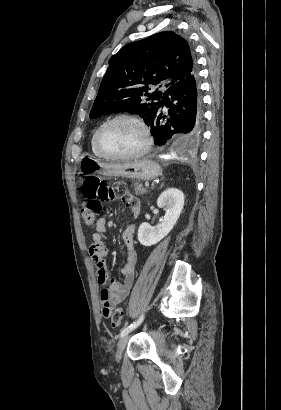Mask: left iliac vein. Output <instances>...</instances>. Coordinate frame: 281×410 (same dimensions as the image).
Here are the masks:
<instances>
[{"label":"left iliac vein","mask_w":281,"mask_h":410,"mask_svg":"<svg viewBox=\"0 0 281 410\" xmlns=\"http://www.w3.org/2000/svg\"><path fill=\"white\" fill-rule=\"evenodd\" d=\"M130 335L126 334L124 336L121 337L118 345H117V351H116V361H120L122 353L128 343Z\"/></svg>","instance_id":"obj_1"}]
</instances>
